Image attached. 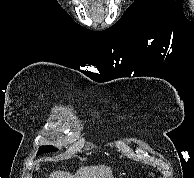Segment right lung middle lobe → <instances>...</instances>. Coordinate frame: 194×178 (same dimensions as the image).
Segmentation results:
<instances>
[{
	"mask_svg": "<svg viewBox=\"0 0 194 178\" xmlns=\"http://www.w3.org/2000/svg\"><path fill=\"white\" fill-rule=\"evenodd\" d=\"M50 151H57V149L53 146H41L39 148V152L37 153V155L42 154L44 152H50Z\"/></svg>",
	"mask_w": 194,
	"mask_h": 178,
	"instance_id": "dd1d6c3e",
	"label": "right lung middle lobe"
}]
</instances>
